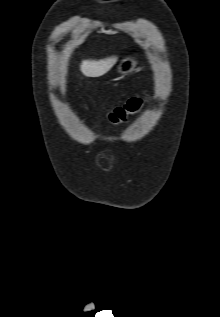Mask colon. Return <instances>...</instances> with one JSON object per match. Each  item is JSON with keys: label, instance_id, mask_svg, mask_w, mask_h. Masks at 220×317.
<instances>
[{"label": "colon", "instance_id": "colon-1", "mask_svg": "<svg viewBox=\"0 0 220 317\" xmlns=\"http://www.w3.org/2000/svg\"><path fill=\"white\" fill-rule=\"evenodd\" d=\"M144 99L140 97L130 98L125 104L114 108L108 115V120L114 125L123 124L136 114L144 105Z\"/></svg>", "mask_w": 220, "mask_h": 317}]
</instances>
